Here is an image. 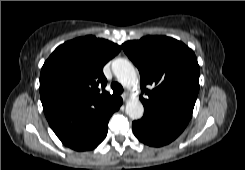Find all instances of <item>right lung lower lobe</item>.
I'll return each mask as SVG.
<instances>
[{
    "mask_svg": "<svg viewBox=\"0 0 245 170\" xmlns=\"http://www.w3.org/2000/svg\"><path fill=\"white\" fill-rule=\"evenodd\" d=\"M122 104V98L110 108L105 116L81 139L68 147L77 151H87L97 147L106 137L108 131V121L111 115L117 111Z\"/></svg>",
    "mask_w": 245,
    "mask_h": 170,
    "instance_id": "obj_1",
    "label": "right lung lower lobe"
}]
</instances>
